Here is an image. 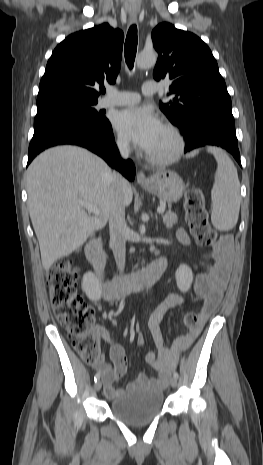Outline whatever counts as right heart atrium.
Instances as JSON below:
<instances>
[{
	"mask_svg": "<svg viewBox=\"0 0 263 465\" xmlns=\"http://www.w3.org/2000/svg\"><path fill=\"white\" fill-rule=\"evenodd\" d=\"M115 145H116V148L117 150L121 153V154H128L129 151H130V145H129V142L122 136H118L116 138V141H115Z\"/></svg>",
	"mask_w": 263,
	"mask_h": 465,
	"instance_id": "d8ad5b80",
	"label": "right heart atrium"
}]
</instances>
